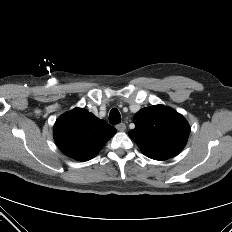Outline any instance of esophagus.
Listing matches in <instances>:
<instances>
[{
    "mask_svg": "<svg viewBox=\"0 0 232 232\" xmlns=\"http://www.w3.org/2000/svg\"><path fill=\"white\" fill-rule=\"evenodd\" d=\"M116 129L118 131H124L126 129V125L124 123H119L116 125Z\"/></svg>",
    "mask_w": 232,
    "mask_h": 232,
    "instance_id": "34e87169",
    "label": "esophagus"
}]
</instances>
